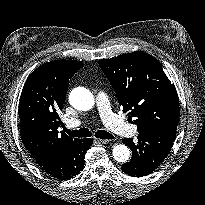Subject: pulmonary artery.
Masks as SVG:
<instances>
[{"label":"pulmonary artery","mask_w":205,"mask_h":205,"mask_svg":"<svg viewBox=\"0 0 205 205\" xmlns=\"http://www.w3.org/2000/svg\"><path fill=\"white\" fill-rule=\"evenodd\" d=\"M96 105L105 125L114 133L119 135H132L136 132V128L129 125L114 113L110 106L109 99L104 91H99L96 96ZM79 120H71L68 122L70 127L80 126Z\"/></svg>","instance_id":"e3ab8cb5"}]
</instances>
